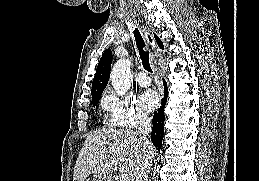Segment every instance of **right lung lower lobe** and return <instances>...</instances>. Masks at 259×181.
<instances>
[{"mask_svg":"<svg viewBox=\"0 0 259 181\" xmlns=\"http://www.w3.org/2000/svg\"><path fill=\"white\" fill-rule=\"evenodd\" d=\"M164 83V98L162 100V106L158 109V112L154 113L152 123H153V129L151 133V141L153 142L156 149L159 151L162 146V140H163V133H164V107L167 101V84L166 81L163 79Z\"/></svg>","mask_w":259,"mask_h":181,"instance_id":"1","label":"right lung lower lobe"}]
</instances>
